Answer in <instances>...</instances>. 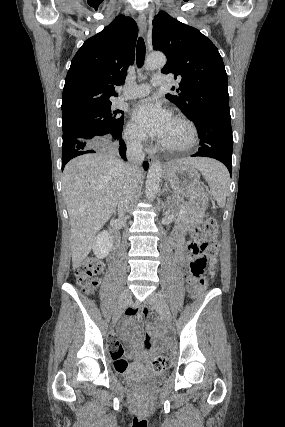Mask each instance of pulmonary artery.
Instances as JSON below:
<instances>
[{
  "label": "pulmonary artery",
  "instance_id": "pulmonary-artery-1",
  "mask_svg": "<svg viewBox=\"0 0 285 427\" xmlns=\"http://www.w3.org/2000/svg\"><path fill=\"white\" fill-rule=\"evenodd\" d=\"M167 83V77L165 75L155 74L151 83H142L137 85L131 90H124L121 98L122 99H134L149 95L152 91L153 86H160Z\"/></svg>",
  "mask_w": 285,
  "mask_h": 427
}]
</instances>
